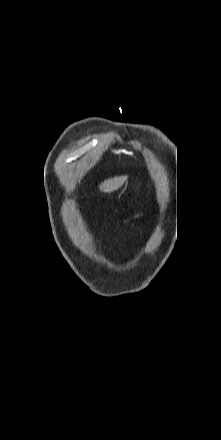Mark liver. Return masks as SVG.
Wrapping results in <instances>:
<instances>
[{"label":"liver","instance_id":"liver-1","mask_svg":"<svg viewBox=\"0 0 221 440\" xmlns=\"http://www.w3.org/2000/svg\"><path fill=\"white\" fill-rule=\"evenodd\" d=\"M127 176H119L105 180L100 184L99 188L103 192H112L118 188H120L124 182L126 181Z\"/></svg>","mask_w":221,"mask_h":440}]
</instances>
